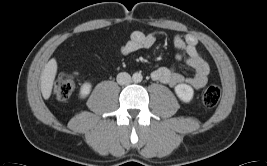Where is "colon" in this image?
I'll use <instances>...</instances> for the list:
<instances>
[{"mask_svg":"<svg viewBox=\"0 0 267 166\" xmlns=\"http://www.w3.org/2000/svg\"><path fill=\"white\" fill-rule=\"evenodd\" d=\"M75 85L71 77L65 76L58 79L54 85V94L59 101H68L74 91ZM221 97L219 86L211 84L207 86L202 93V102L205 106H215Z\"/></svg>","mask_w":267,"mask_h":166,"instance_id":"1","label":"colon"}]
</instances>
